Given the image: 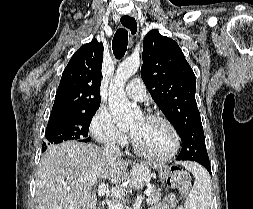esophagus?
Returning <instances> with one entry per match:
<instances>
[{
	"mask_svg": "<svg viewBox=\"0 0 253 209\" xmlns=\"http://www.w3.org/2000/svg\"><path fill=\"white\" fill-rule=\"evenodd\" d=\"M120 24L125 27L127 25H131L132 26V32L130 30V28H128L131 32L132 35H135L137 33L138 30V23H137V19L136 16L134 14H124L120 17Z\"/></svg>",
	"mask_w": 253,
	"mask_h": 209,
	"instance_id": "1",
	"label": "esophagus"
}]
</instances>
